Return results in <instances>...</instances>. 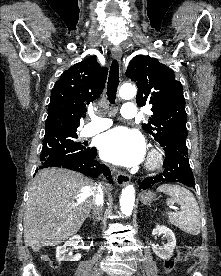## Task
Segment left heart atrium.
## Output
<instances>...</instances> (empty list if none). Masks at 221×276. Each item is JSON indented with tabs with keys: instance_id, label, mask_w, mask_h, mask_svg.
<instances>
[{
	"instance_id": "obj_1",
	"label": "left heart atrium",
	"mask_w": 221,
	"mask_h": 276,
	"mask_svg": "<svg viewBox=\"0 0 221 276\" xmlns=\"http://www.w3.org/2000/svg\"><path fill=\"white\" fill-rule=\"evenodd\" d=\"M103 159L122 166H135L145 155V142L140 133L118 127L103 134L99 141Z\"/></svg>"
}]
</instances>
